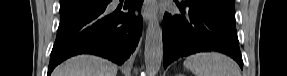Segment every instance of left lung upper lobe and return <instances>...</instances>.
Listing matches in <instances>:
<instances>
[{
    "label": "left lung upper lobe",
    "mask_w": 287,
    "mask_h": 76,
    "mask_svg": "<svg viewBox=\"0 0 287 76\" xmlns=\"http://www.w3.org/2000/svg\"><path fill=\"white\" fill-rule=\"evenodd\" d=\"M182 3L216 17L236 29L234 0H185Z\"/></svg>",
    "instance_id": "1"
}]
</instances>
